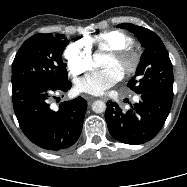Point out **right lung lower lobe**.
<instances>
[{"instance_id": "98d812e1", "label": "right lung lower lobe", "mask_w": 187, "mask_h": 187, "mask_svg": "<svg viewBox=\"0 0 187 187\" xmlns=\"http://www.w3.org/2000/svg\"><path fill=\"white\" fill-rule=\"evenodd\" d=\"M71 82L61 84H26L13 92V107L23 133L37 146L59 151L79 138L87 109L82 97L60 103L50 109L48 99L54 92H67Z\"/></svg>"}]
</instances>
